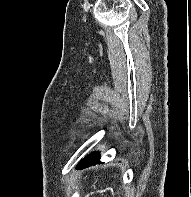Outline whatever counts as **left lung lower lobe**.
Returning <instances> with one entry per match:
<instances>
[{
	"instance_id": "1",
	"label": "left lung lower lobe",
	"mask_w": 191,
	"mask_h": 197,
	"mask_svg": "<svg viewBox=\"0 0 191 197\" xmlns=\"http://www.w3.org/2000/svg\"><path fill=\"white\" fill-rule=\"evenodd\" d=\"M100 163V157L98 152H93L91 155L86 156L77 166V169H83L93 164Z\"/></svg>"
}]
</instances>
